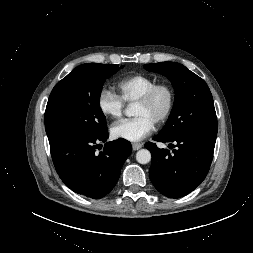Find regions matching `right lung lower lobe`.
Returning a JSON list of instances; mask_svg holds the SVG:
<instances>
[{"mask_svg":"<svg viewBox=\"0 0 253 253\" xmlns=\"http://www.w3.org/2000/svg\"><path fill=\"white\" fill-rule=\"evenodd\" d=\"M108 137L106 128L95 135L67 137L50 143L58 175L75 193L100 199L116 185L132 146L123 138L106 142ZM100 141L106 144L98 153Z\"/></svg>","mask_w":253,"mask_h":253,"instance_id":"98d812e1","label":"right lung lower lobe"}]
</instances>
